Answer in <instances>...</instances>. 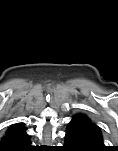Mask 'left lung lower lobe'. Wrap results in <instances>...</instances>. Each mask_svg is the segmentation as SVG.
I'll use <instances>...</instances> for the list:
<instances>
[{
  "label": "left lung lower lobe",
  "mask_w": 118,
  "mask_h": 151,
  "mask_svg": "<svg viewBox=\"0 0 118 151\" xmlns=\"http://www.w3.org/2000/svg\"><path fill=\"white\" fill-rule=\"evenodd\" d=\"M64 151H99L90 142L74 129L67 128L65 134Z\"/></svg>",
  "instance_id": "obj_1"
}]
</instances>
